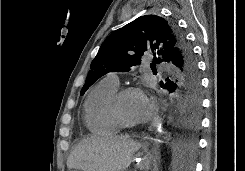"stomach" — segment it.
Segmentation results:
<instances>
[{"instance_id": "obj_1", "label": "stomach", "mask_w": 245, "mask_h": 171, "mask_svg": "<svg viewBox=\"0 0 245 171\" xmlns=\"http://www.w3.org/2000/svg\"><path fill=\"white\" fill-rule=\"evenodd\" d=\"M136 161H137V166L141 169L147 170L151 166V160H149L146 157H143L141 153H138L136 155Z\"/></svg>"}]
</instances>
